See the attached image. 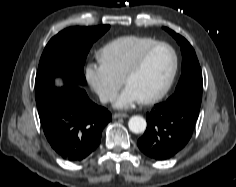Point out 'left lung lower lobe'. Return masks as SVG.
I'll use <instances>...</instances> for the list:
<instances>
[{
	"instance_id": "0a47b994",
	"label": "left lung lower lobe",
	"mask_w": 236,
	"mask_h": 187,
	"mask_svg": "<svg viewBox=\"0 0 236 187\" xmlns=\"http://www.w3.org/2000/svg\"><path fill=\"white\" fill-rule=\"evenodd\" d=\"M198 115V110L187 105L156 104L147 113V129L138 140L139 149L155 160L171 158L189 141Z\"/></svg>"
}]
</instances>
